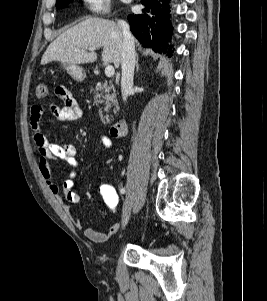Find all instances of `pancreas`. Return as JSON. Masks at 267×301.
Returning a JSON list of instances; mask_svg holds the SVG:
<instances>
[{"label": "pancreas", "instance_id": "obj_1", "mask_svg": "<svg viewBox=\"0 0 267 301\" xmlns=\"http://www.w3.org/2000/svg\"><path fill=\"white\" fill-rule=\"evenodd\" d=\"M94 93V99L98 104H104L105 107L99 110V115L101 121L104 124H109L111 120L109 119V111L114 106L118 109V101L116 99L117 93L112 82L105 81L104 83H97L95 88L90 89ZM105 113V116H104Z\"/></svg>", "mask_w": 267, "mask_h": 301}]
</instances>
